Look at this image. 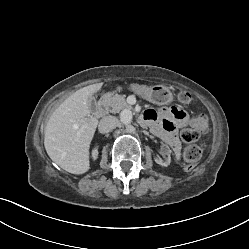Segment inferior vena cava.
I'll use <instances>...</instances> for the list:
<instances>
[{
    "instance_id": "inferior-vena-cava-1",
    "label": "inferior vena cava",
    "mask_w": 249,
    "mask_h": 249,
    "mask_svg": "<svg viewBox=\"0 0 249 249\" xmlns=\"http://www.w3.org/2000/svg\"><path fill=\"white\" fill-rule=\"evenodd\" d=\"M119 120L114 116H107L103 118L98 125V130L101 134L108 133L119 126Z\"/></svg>"
}]
</instances>
